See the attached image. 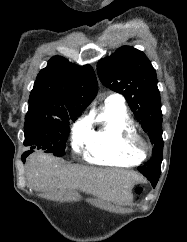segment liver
<instances>
[{
	"mask_svg": "<svg viewBox=\"0 0 187 242\" xmlns=\"http://www.w3.org/2000/svg\"><path fill=\"white\" fill-rule=\"evenodd\" d=\"M26 178L36 189H79L105 201L130 204L139 175L134 171L66 164L49 154L34 153L26 161Z\"/></svg>",
	"mask_w": 187,
	"mask_h": 242,
	"instance_id": "obj_1",
	"label": "liver"
}]
</instances>
